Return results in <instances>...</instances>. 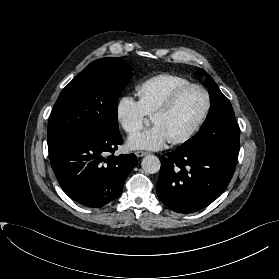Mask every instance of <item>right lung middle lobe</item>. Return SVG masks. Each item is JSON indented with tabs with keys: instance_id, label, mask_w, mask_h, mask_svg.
I'll return each instance as SVG.
<instances>
[{
	"instance_id": "right-lung-middle-lobe-1",
	"label": "right lung middle lobe",
	"mask_w": 279,
	"mask_h": 279,
	"mask_svg": "<svg viewBox=\"0 0 279 279\" xmlns=\"http://www.w3.org/2000/svg\"><path fill=\"white\" fill-rule=\"evenodd\" d=\"M132 76L121 58L90 63L60 93L48 124V149L68 141L117 132V103Z\"/></svg>"
}]
</instances>
